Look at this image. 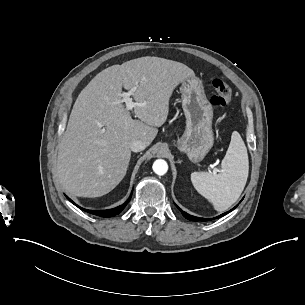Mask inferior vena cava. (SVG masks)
Segmentation results:
<instances>
[{"mask_svg": "<svg viewBox=\"0 0 305 305\" xmlns=\"http://www.w3.org/2000/svg\"><path fill=\"white\" fill-rule=\"evenodd\" d=\"M129 146L132 151L139 152L146 148V143L141 140L133 139L129 142Z\"/></svg>", "mask_w": 305, "mask_h": 305, "instance_id": "inferior-vena-cava-1", "label": "inferior vena cava"}]
</instances>
